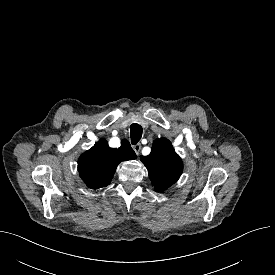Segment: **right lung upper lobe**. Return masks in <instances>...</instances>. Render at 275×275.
I'll return each instance as SVG.
<instances>
[{
    "mask_svg": "<svg viewBox=\"0 0 275 275\" xmlns=\"http://www.w3.org/2000/svg\"><path fill=\"white\" fill-rule=\"evenodd\" d=\"M137 156L127 140L121 147L110 148L105 139H101L91 149L83 153L78 160V171L92 189L107 186L113 178L121 161L135 159Z\"/></svg>",
    "mask_w": 275,
    "mask_h": 275,
    "instance_id": "cb5924a9",
    "label": "right lung upper lobe"
}]
</instances>
